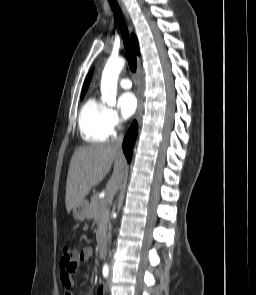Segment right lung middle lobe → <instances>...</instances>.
Segmentation results:
<instances>
[{
    "instance_id": "1",
    "label": "right lung middle lobe",
    "mask_w": 256,
    "mask_h": 295,
    "mask_svg": "<svg viewBox=\"0 0 256 295\" xmlns=\"http://www.w3.org/2000/svg\"><path fill=\"white\" fill-rule=\"evenodd\" d=\"M84 95H85V94H81V99H83Z\"/></svg>"
}]
</instances>
